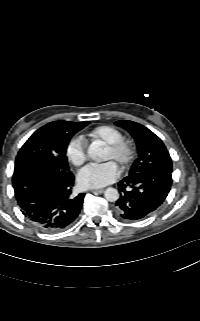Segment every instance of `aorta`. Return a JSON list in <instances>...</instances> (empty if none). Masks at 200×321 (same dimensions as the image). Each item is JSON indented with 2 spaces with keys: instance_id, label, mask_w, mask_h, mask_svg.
Returning a JSON list of instances; mask_svg holds the SVG:
<instances>
[{
  "instance_id": "aorta-1",
  "label": "aorta",
  "mask_w": 200,
  "mask_h": 321,
  "mask_svg": "<svg viewBox=\"0 0 200 321\" xmlns=\"http://www.w3.org/2000/svg\"><path fill=\"white\" fill-rule=\"evenodd\" d=\"M88 155L91 159L99 162L103 160L104 151L98 142H94L89 146ZM106 200L115 202L119 199V193L115 188H107L104 192Z\"/></svg>"
}]
</instances>
